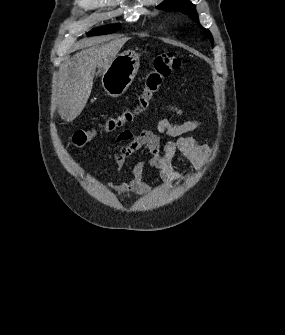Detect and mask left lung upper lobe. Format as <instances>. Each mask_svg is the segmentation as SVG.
Returning <instances> with one entry per match:
<instances>
[{"label": "left lung upper lobe", "mask_w": 285, "mask_h": 335, "mask_svg": "<svg viewBox=\"0 0 285 335\" xmlns=\"http://www.w3.org/2000/svg\"><path fill=\"white\" fill-rule=\"evenodd\" d=\"M158 8L181 11L187 14L192 20L198 21V14L195 10V5L188 0H166L164 3L158 6ZM203 30L208 34L210 41L213 43V37L211 33L207 29L203 28Z\"/></svg>", "instance_id": "5c2ea615"}]
</instances>
